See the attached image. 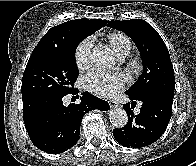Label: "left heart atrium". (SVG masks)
I'll list each match as a JSON object with an SVG mask.
<instances>
[{"instance_id": "39dd6f15", "label": "left heart atrium", "mask_w": 196, "mask_h": 166, "mask_svg": "<svg viewBox=\"0 0 196 166\" xmlns=\"http://www.w3.org/2000/svg\"><path fill=\"white\" fill-rule=\"evenodd\" d=\"M128 82L124 73H111L93 70L84 77V86L87 90L101 95H114L121 91Z\"/></svg>"}]
</instances>
